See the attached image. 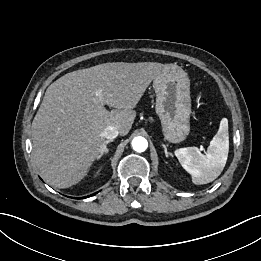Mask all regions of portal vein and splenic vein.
Here are the masks:
<instances>
[{
  "instance_id": "18ae733b",
  "label": "portal vein and splenic vein",
  "mask_w": 261,
  "mask_h": 261,
  "mask_svg": "<svg viewBox=\"0 0 261 261\" xmlns=\"http://www.w3.org/2000/svg\"><path fill=\"white\" fill-rule=\"evenodd\" d=\"M96 96L99 98L100 102L104 101V95L101 91H97Z\"/></svg>"
}]
</instances>
